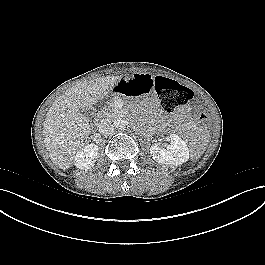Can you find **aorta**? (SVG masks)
Here are the masks:
<instances>
[{
    "instance_id": "aorta-1",
    "label": "aorta",
    "mask_w": 265,
    "mask_h": 265,
    "mask_svg": "<svg viewBox=\"0 0 265 265\" xmlns=\"http://www.w3.org/2000/svg\"><path fill=\"white\" fill-rule=\"evenodd\" d=\"M115 128L123 130L126 128V122L122 118H116L113 121Z\"/></svg>"
}]
</instances>
